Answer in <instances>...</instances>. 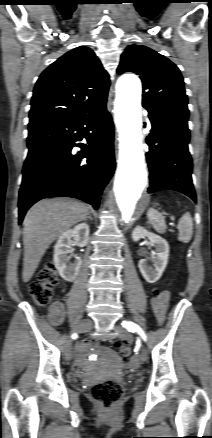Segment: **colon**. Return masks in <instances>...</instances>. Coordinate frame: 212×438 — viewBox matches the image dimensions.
Instances as JSON below:
<instances>
[{"mask_svg":"<svg viewBox=\"0 0 212 438\" xmlns=\"http://www.w3.org/2000/svg\"><path fill=\"white\" fill-rule=\"evenodd\" d=\"M58 284L57 269L53 264L44 266L37 279L29 286L28 292L33 301L44 306L48 304L53 296L54 289ZM159 292H154V297L158 296ZM114 347L119 349L122 356L127 357L131 353L130 347L122 342L115 341ZM123 387L115 379H107L95 384L90 389L91 397L103 405L105 408H111L122 397Z\"/></svg>","mask_w":212,"mask_h":438,"instance_id":"obj_1","label":"colon"}]
</instances>
